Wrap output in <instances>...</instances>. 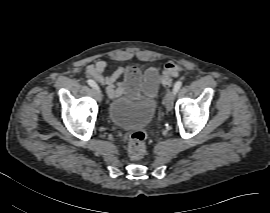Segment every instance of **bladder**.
Masks as SVG:
<instances>
[{"mask_svg":"<svg viewBox=\"0 0 270 213\" xmlns=\"http://www.w3.org/2000/svg\"><path fill=\"white\" fill-rule=\"evenodd\" d=\"M156 105L154 97L132 101L128 95L122 94L107 104L106 115L114 126L126 131H138L153 123Z\"/></svg>","mask_w":270,"mask_h":213,"instance_id":"bladder-1","label":"bladder"}]
</instances>
